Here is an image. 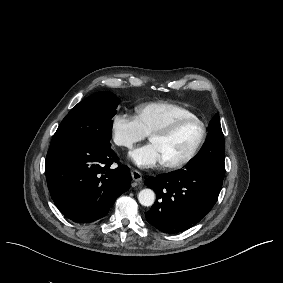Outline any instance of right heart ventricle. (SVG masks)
<instances>
[{"mask_svg": "<svg viewBox=\"0 0 283 283\" xmlns=\"http://www.w3.org/2000/svg\"><path fill=\"white\" fill-rule=\"evenodd\" d=\"M136 112L144 131L149 135L163 130L181 116L193 114L183 106L168 102L142 104L136 108Z\"/></svg>", "mask_w": 283, "mask_h": 283, "instance_id": "obj_1", "label": "right heart ventricle"}]
</instances>
